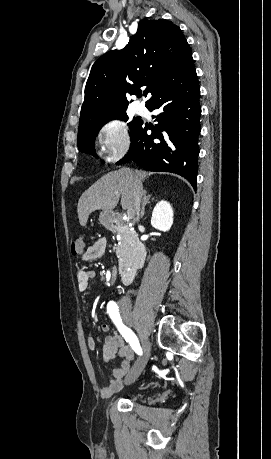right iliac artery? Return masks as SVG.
<instances>
[{"label": "right iliac artery", "mask_w": 271, "mask_h": 459, "mask_svg": "<svg viewBox=\"0 0 271 459\" xmlns=\"http://www.w3.org/2000/svg\"><path fill=\"white\" fill-rule=\"evenodd\" d=\"M107 313H109L110 318L112 319V321L116 325L118 331L124 337L126 342H128L130 344L132 349L138 355H142V349L140 347V344H139L137 336L134 334V332L130 328H128L127 326H125L122 323V319H121L120 314H119L118 306H117V304L115 302L110 301L108 303V305H107Z\"/></svg>", "instance_id": "right-iliac-artery-1"}]
</instances>
